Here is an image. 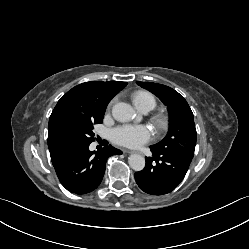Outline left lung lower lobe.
<instances>
[{
  "mask_svg": "<svg viewBox=\"0 0 249 249\" xmlns=\"http://www.w3.org/2000/svg\"><path fill=\"white\" fill-rule=\"evenodd\" d=\"M150 149L153 157H147L145 168L135 173L136 183L148 194H167L183 180L193 157Z\"/></svg>",
  "mask_w": 249,
  "mask_h": 249,
  "instance_id": "obj_1",
  "label": "left lung lower lobe"
}]
</instances>
